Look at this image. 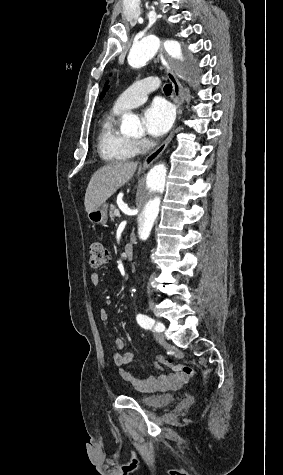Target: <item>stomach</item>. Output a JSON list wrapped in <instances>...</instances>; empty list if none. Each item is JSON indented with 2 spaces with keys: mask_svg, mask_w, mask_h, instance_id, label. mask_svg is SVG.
I'll return each instance as SVG.
<instances>
[{
  "mask_svg": "<svg viewBox=\"0 0 283 475\" xmlns=\"http://www.w3.org/2000/svg\"><path fill=\"white\" fill-rule=\"evenodd\" d=\"M144 170V168H142ZM108 204H102L99 206L97 210H93V212H88V220L92 222V224H106L108 220Z\"/></svg>",
  "mask_w": 283,
  "mask_h": 475,
  "instance_id": "stomach-1",
  "label": "stomach"
}]
</instances>
